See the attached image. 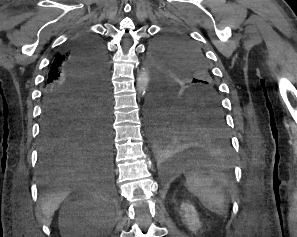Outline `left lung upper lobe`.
Segmentation results:
<instances>
[{"label":"left lung upper lobe","mask_w":297,"mask_h":237,"mask_svg":"<svg viewBox=\"0 0 297 237\" xmlns=\"http://www.w3.org/2000/svg\"><path fill=\"white\" fill-rule=\"evenodd\" d=\"M153 93L164 94L180 104L212 100L221 105L206 60L187 37L167 32L150 49Z\"/></svg>","instance_id":"left-lung-upper-lobe-1"}]
</instances>
